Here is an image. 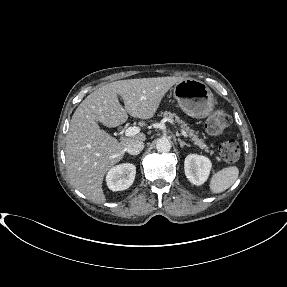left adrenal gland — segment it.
Returning <instances> with one entry per match:
<instances>
[{
  "instance_id": "1",
  "label": "left adrenal gland",
  "mask_w": 287,
  "mask_h": 287,
  "mask_svg": "<svg viewBox=\"0 0 287 287\" xmlns=\"http://www.w3.org/2000/svg\"><path fill=\"white\" fill-rule=\"evenodd\" d=\"M178 142L181 148H183L184 146L190 147V144L183 142L180 138H178Z\"/></svg>"
}]
</instances>
